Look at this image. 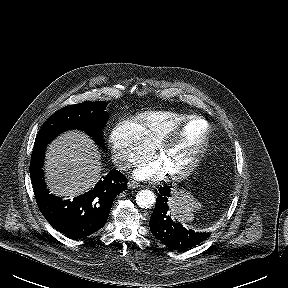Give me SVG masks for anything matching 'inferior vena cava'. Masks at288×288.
<instances>
[{
	"label": "inferior vena cava",
	"mask_w": 288,
	"mask_h": 288,
	"mask_svg": "<svg viewBox=\"0 0 288 288\" xmlns=\"http://www.w3.org/2000/svg\"><path fill=\"white\" fill-rule=\"evenodd\" d=\"M117 166L119 167L120 170H125L127 168H130L131 164L127 161H124V162H117Z\"/></svg>",
	"instance_id": "602c4592"
}]
</instances>
